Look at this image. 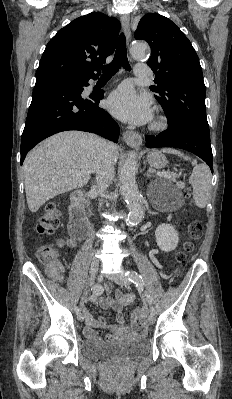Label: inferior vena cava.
<instances>
[{
    "mask_svg": "<svg viewBox=\"0 0 232 399\" xmlns=\"http://www.w3.org/2000/svg\"><path fill=\"white\" fill-rule=\"evenodd\" d=\"M101 150H99L98 160L94 164V172H96V192L97 194H104L114 178V158L110 152L112 142L101 140ZM92 262H97V259H92Z\"/></svg>",
    "mask_w": 232,
    "mask_h": 399,
    "instance_id": "obj_1",
    "label": "inferior vena cava"
}]
</instances>
